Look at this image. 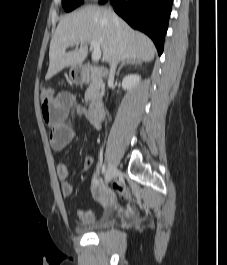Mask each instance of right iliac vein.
Here are the masks:
<instances>
[{"label":"right iliac vein","instance_id":"1","mask_svg":"<svg viewBox=\"0 0 227 265\" xmlns=\"http://www.w3.org/2000/svg\"><path fill=\"white\" fill-rule=\"evenodd\" d=\"M116 174H117V168L113 164L109 165L108 172L105 177L106 183H109L116 176Z\"/></svg>","mask_w":227,"mask_h":265}]
</instances>
